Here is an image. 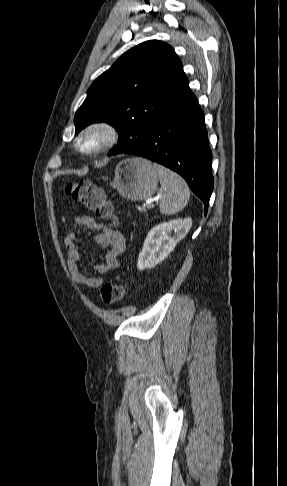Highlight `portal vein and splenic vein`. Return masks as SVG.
Segmentation results:
<instances>
[{
  "mask_svg": "<svg viewBox=\"0 0 287 486\" xmlns=\"http://www.w3.org/2000/svg\"><path fill=\"white\" fill-rule=\"evenodd\" d=\"M153 204H152V200H149V201H146L144 204H143V208H150L152 207Z\"/></svg>",
  "mask_w": 287,
  "mask_h": 486,
  "instance_id": "1",
  "label": "portal vein and splenic vein"
}]
</instances>
